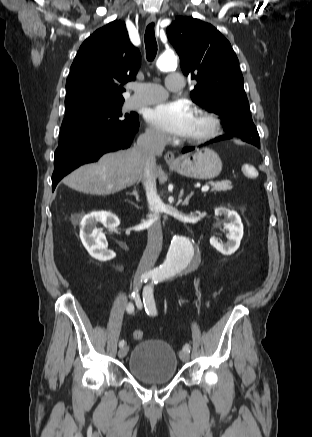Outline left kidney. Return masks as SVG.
Returning a JSON list of instances; mask_svg holds the SVG:
<instances>
[{"label": "left kidney", "instance_id": "5707ae66", "mask_svg": "<svg viewBox=\"0 0 312 437\" xmlns=\"http://www.w3.org/2000/svg\"><path fill=\"white\" fill-rule=\"evenodd\" d=\"M215 216H223L227 222H219L215 226L223 224L224 230L227 232L228 241L226 243L219 242L215 237L210 239V244L224 255L233 254L240 246V241L243 237V224L237 212L227 208H216Z\"/></svg>", "mask_w": 312, "mask_h": 437}]
</instances>
